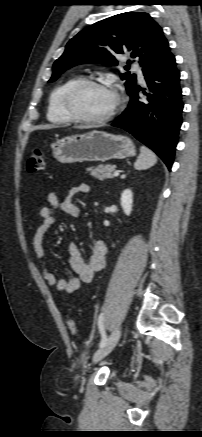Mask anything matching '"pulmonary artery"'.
I'll list each match as a JSON object with an SVG mask.
<instances>
[{
  "mask_svg": "<svg viewBox=\"0 0 202 437\" xmlns=\"http://www.w3.org/2000/svg\"><path fill=\"white\" fill-rule=\"evenodd\" d=\"M133 69H134V71L137 73L138 78H139L140 80H143V74H142V71H141L139 65L136 64V63H134V64H133Z\"/></svg>",
  "mask_w": 202,
  "mask_h": 437,
  "instance_id": "1",
  "label": "pulmonary artery"
}]
</instances>
